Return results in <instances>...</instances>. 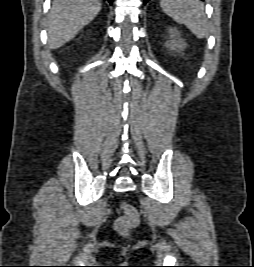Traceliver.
I'll return each instance as SVG.
<instances>
[{"instance_id": "6515ba94", "label": "liver", "mask_w": 254, "mask_h": 267, "mask_svg": "<svg viewBox=\"0 0 254 267\" xmlns=\"http://www.w3.org/2000/svg\"><path fill=\"white\" fill-rule=\"evenodd\" d=\"M101 10L99 0H55L48 14V46L57 49L73 39Z\"/></svg>"}]
</instances>
